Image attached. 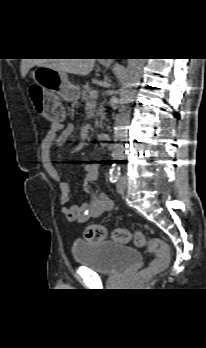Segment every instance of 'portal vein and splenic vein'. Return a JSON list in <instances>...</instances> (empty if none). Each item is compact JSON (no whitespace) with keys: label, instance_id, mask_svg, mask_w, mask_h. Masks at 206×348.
<instances>
[{"label":"portal vein and splenic vein","instance_id":"obj_1","mask_svg":"<svg viewBox=\"0 0 206 348\" xmlns=\"http://www.w3.org/2000/svg\"><path fill=\"white\" fill-rule=\"evenodd\" d=\"M98 91L97 90H93L91 93H90V96L94 99H96L98 97Z\"/></svg>","mask_w":206,"mask_h":348}]
</instances>
